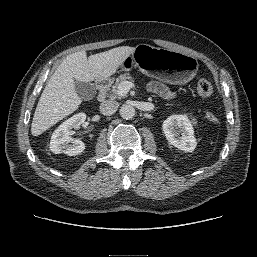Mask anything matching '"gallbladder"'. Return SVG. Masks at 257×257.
Segmentation results:
<instances>
[{"mask_svg":"<svg viewBox=\"0 0 257 257\" xmlns=\"http://www.w3.org/2000/svg\"><path fill=\"white\" fill-rule=\"evenodd\" d=\"M75 89H76L78 96L82 100H90L96 94L95 87L92 83H83V82L76 81Z\"/></svg>","mask_w":257,"mask_h":257,"instance_id":"1","label":"gallbladder"}]
</instances>
